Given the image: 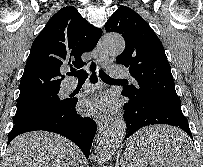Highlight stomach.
I'll return each instance as SVG.
<instances>
[{"mask_svg":"<svg viewBox=\"0 0 203 167\" xmlns=\"http://www.w3.org/2000/svg\"><path fill=\"white\" fill-rule=\"evenodd\" d=\"M151 153H153L154 155L158 154V149L154 148L150 151ZM130 154H131V149L130 148H126V151L124 153V159H123V167H130Z\"/></svg>","mask_w":203,"mask_h":167,"instance_id":"0dacf381","label":"stomach"}]
</instances>
